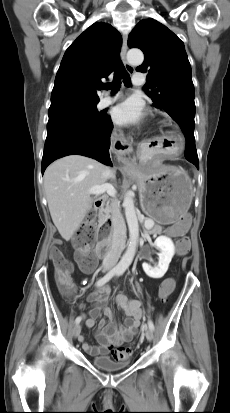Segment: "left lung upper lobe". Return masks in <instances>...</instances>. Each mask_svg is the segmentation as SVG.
<instances>
[{"label": "left lung upper lobe", "mask_w": 230, "mask_h": 413, "mask_svg": "<svg viewBox=\"0 0 230 413\" xmlns=\"http://www.w3.org/2000/svg\"><path fill=\"white\" fill-rule=\"evenodd\" d=\"M128 46L145 54L136 70L149 73L146 84L152 90L147 95L153 106L166 111L183 133L194 132V85L184 43L166 26L148 18L129 34Z\"/></svg>", "instance_id": "obj_1"}]
</instances>
